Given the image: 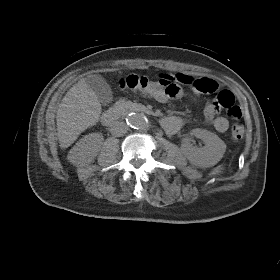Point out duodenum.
I'll use <instances>...</instances> for the list:
<instances>
[{
    "mask_svg": "<svg viewBox=\"0 0 280 280\" xmlns=\"http://www.w3.org/2000/svg\"><path fill=\"white\" fill-rule=\"evenodd\" d=\"M131 109H136L132 107ZM123 113L122 109L112 108L105 111L101 116V122L105 126H111Z\"/></svg>",
    "mask_w": 280,
    "mask_h": 280,
    "instance_id": "1",
    "label": "duodenum"
}]
</instances>
